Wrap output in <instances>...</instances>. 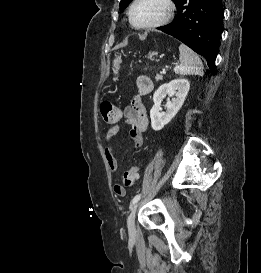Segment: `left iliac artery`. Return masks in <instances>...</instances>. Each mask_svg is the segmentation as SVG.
I'll use <instances>...</instances> for the list:
<instances>
[{"instance_id":"44dca946","label":"left iliac artery","mask_w":261,"mask_h":273,"mask_svg":"<svg viewBox=\"0 0 261 273\" xmlns=\"http://www.w3.org/2000/svg\"><path fill=\"white\" fill-rule=\"evenodd\" d=\"M140 197H141L140 194L136 195V196L132 199L131 205H134L135 203H137V202L139 201Z\"/></svg>"}]
</instances>
